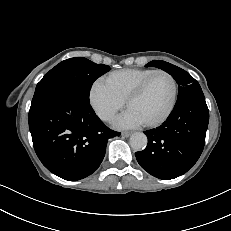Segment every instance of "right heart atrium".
<instances>
[{
  "mask_svg": "<svg viewBox=\"0 0 231 231\" xmlns=\"http://www.w3.org/2000/svg\"><path fill=\"white\" fill-rule=\"evenodd\" d=\"M89 102L96 115L110 122L124 106V101L115 95L103 81H96L89 92Z\"/></svg>",
  "mask_w": 231,
  "mask_h": 231,
  "instance_id": "right-heart-atrium-1",
  "label": "right heart atrium"
}]
</instances>
